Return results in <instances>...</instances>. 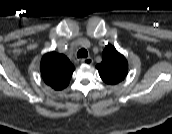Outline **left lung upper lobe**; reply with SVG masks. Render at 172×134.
I'll return each instance as SVG.
<instances>
[{
	"instance_id": "left-lung-upper-lobe-1",
	"label": "left lung upper lobe",
	"mask_w": 172,
	"mask_h": 134,
	"mask_svg": "<svg viewBox=\"0 0 172 134\" xmlns=\"http://www.w3.org/2000/svg\"><path fill=\"white\" fill-rule=\"evenodd\" d=\"M100 77L107 84H117L124 80L128 73L126 58L114 46L107 45L102 53V62L96 66Z\"/></svg>"
}]
</instances>
